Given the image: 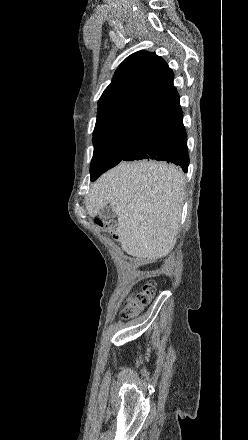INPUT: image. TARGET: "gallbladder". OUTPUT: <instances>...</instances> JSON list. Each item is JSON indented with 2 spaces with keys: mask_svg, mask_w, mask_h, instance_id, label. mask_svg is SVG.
<instances>
[{
  "mask_svg": "<svg viewBox=\"0 0 248 440\" xmlns=\"http://www.w3.org/2000/svg\"><path fill=\"white\" fill-rule=\"evenodd\" d=\"M100 214L104 220H109L115 216V213L110 205L105 206L101 210Z\"/></svg>",
  "mask_w": 248,
  "mask_h": 440,
  "instance_id": "bac80fb5",
  "label": "gallbladder"
}]
</instances>
